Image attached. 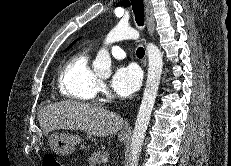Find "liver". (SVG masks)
<instances>
[{
	"mask_svg": "<svg viewBox=\"0 0 231 166\" xmlns=\"http://www.w3.org/2000/svg\"><path fill=\"white\" fill-rule=\"evenodd\" d=\"M38 121L47 136L50 132L82 130L89 135L107 137L119 131L125 121L102 107L80 101H61L40 109Z\"/></svg>",
	"mask_w": 231,
	"mask_h": 166,
	"instance_id": "liver-1",
	"label": "liver"
}]
</instances>
